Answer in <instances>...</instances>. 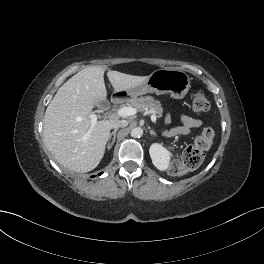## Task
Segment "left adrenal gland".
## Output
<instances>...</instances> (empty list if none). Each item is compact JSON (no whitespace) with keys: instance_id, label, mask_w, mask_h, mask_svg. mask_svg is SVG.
Wrapping results in <instances>:
<instances>
[{"instance_id":"obj_1","label":"left adrenal gland","mask_w":264,"mask_h":264,"mask_svg":"<svg viewBox=\"0 0 264 264\" xmlns=\"http://www.w3.org/2000/svg\"><path fill=\"white\" fill-rule=\"evenodd\" d=\"M149 132H150L151 135H154V136L156 135L154 130H150Z\"/></svg>"}]
</instances>
